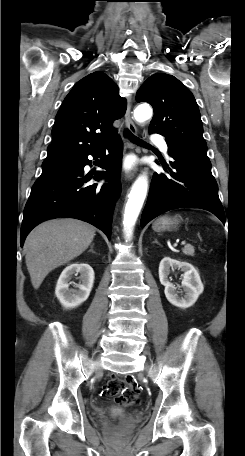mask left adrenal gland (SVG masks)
Instances as JSON below:
<instances>
[{"label":"left adrenal gland","mask_w":245,"mask_h":456,"mask_svg":"<svg viewBox=\"0 0 245 456\" xmlns=\"http://www.w3.org/2000/svg\"><path fill=\"white\" fill-rule=\"evenodd\" d=\"M153 243H157L158 245H160V243L158 242L157 239H155V240L153 241Z\"/></svg>","instance_id":"1"}]
</instances>
